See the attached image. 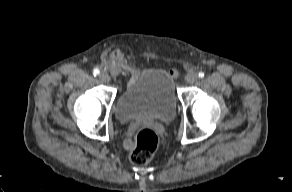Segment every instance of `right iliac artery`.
Wrapping results in <instances>:
<instances>
[{
    "label": "right iliac artery",
    "mask_w": 292,
    "mask_h": 192,
    "mask_svg": "<svg viewBox=\"0 0 292 192\" xmlns=\"http://www.w3.org/2000/svg\"><path fill=\"white\" fill-rule=\"evenodd\" d=\"M93 74H94V76H98V75L100 74L99 69L95 68V69L93 70Z\"/></svg>",
    "instance_id": "1"
}]
</instances>
